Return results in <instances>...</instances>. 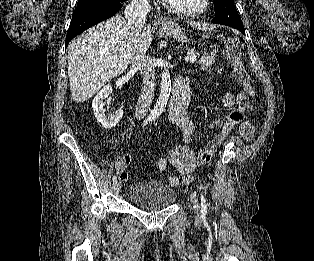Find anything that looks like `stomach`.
Returning a JSON list of instances; mask_svg holds the SVG:
<instances>
[{
    "mask_svg": "<svg viewBox=\"0 0 314 261\" xmlns=\"http://www.w3.org/2000/svg\"><path fill=\"white\" fill-rule=\"evenodd\" d=\"M165 34L173 36L174 38H176L178 41L182 43L186 42L185 35L183 34L179 26L175 23H172V22L167 23L166 28H165Z\"/></svg>",
    "mask_w": 314,
    "mask_h": 261,
    "instance_id": "stomach-1",
    "label": "stomach"
}]
</instances>
